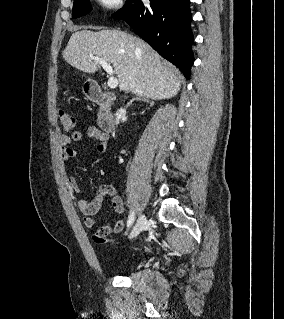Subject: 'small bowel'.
<instances>
[{
    "label": "small bowel",
    "instance_id": "1",
    "mask_svg": "<svg viewBox=\"0 0 284 319\" xmlns=\"http://www.w3.org/2000/svg\"><path fill=\"white\" fill-rule=\"evenodd\" d=\"M87 135L97 141L95 150L98 153H105L107 149V134L99 128L91 126L87 130ZM82 137L83 133L80 131H76L69 136H61L60 145L62 146V158L64 162H69L77 157V151L70 145L80 141ZM67 185L71 193H80V186L74 177H69L67 179ZM107 196L111 198L112 207L115 213L121 214L124 210L123 201L116 188L112 185H101L98 188L95 197L90 201L85 198H79L77 200V207L83 214V222L87 228H93L97 224L95 216L101 209L103 201ZM123 228V220L116 219L113 223L103 225L97 229L94 234L101 238H106L111 233L121 232Z\"/></svg>",
    "mask_w": 284,
    "mask_h": 319
}]
</instances>
